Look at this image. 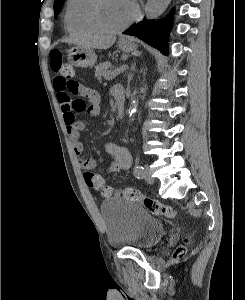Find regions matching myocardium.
Instances as JSON below:
<instances>
[{
    "label": "myocardium",
    "mask_w": 245,
    "mask_h": 300,
    "mask_svg": "<svg viewBox=\"0 0 245 300\" xmlns=\"http://www.w3.org/2000/svg\"><path fill=\"white\" fill-rule=\"evenodd\" d=\"M100 0H88V3L85 8L84 17L86 23L96 32L101 34H116L119 32H122L126 28H128L138 17V11L137 9L134 11V14L132 17L121 26H118L116 28H107L103 26L97 19V6L99 4Z\"/></svg>",
    "instance_id": "f54148a6"
}]
</instances>
